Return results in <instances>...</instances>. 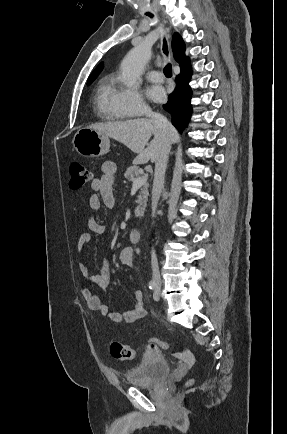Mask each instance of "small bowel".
Listing matches in <instances>:
<instances>
[{
	"label": "small bowel",
	"instance_id": "1",
	"mask_svg": "<svg viewBox=\"0 0 287 434\" xmlns=\"http://www.w3.org/2000/svg\"><path fill=\"white\" fill-rule=\"evenodd\" d=\"M102 174L95 177L91 181V188L94 193L89 197L88 203L90 209L97 211L103 206L112 208L115 204L113 193V185L116 177V164L113 161H105L101 166ZM107 231L105 225L99 223L96 218L90 217L86 220L85 231L79 236L77 242V250L83 252L91 241L92 234L104 235ZM118 261L122 266L131 267L134 262V253L131 247H124L120 250ZM80 275V292L85 299L90 310L99 312L107 316L115 323H134L142 319L145 315L143 305V293L141 290H136L133 294L134 305L125 313L111 312L106 304L93 292L89 287L95 285L98 287H106L110 281L109 261L105 258L100 266L97 274H90L88 265L85 261H81L78 265ZM193 364V359L189 356L186 360V366L190 367Z\"/></svg>",
	"mask_w": 287,
	"mask_h": 434
}]
</instances>
